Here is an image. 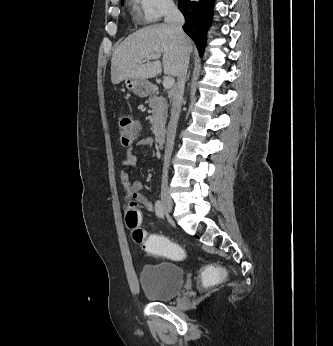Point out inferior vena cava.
Listing matches in <instances>:
<instances>
[{"instance_id":"602c4592","label":"inferior vena cava","mask_w":333,"mask_h":346,"mask_svg":"<svg viewBox=\"0 0 333 346\" xmlns=\"http://www.w3.org/2000/svg\"><path fill=\"white\" fill-rule=\"evenodd\" d=\"M164 21L170 27V29L179 37L180 44H183L185 38V34L182 30V26L185 22L183 14L174 5H170L166 10ZM188 64L189 54L185 49H183L178 67L177 83L173 90L171 117L168 124L167 139L165 145L163 179H166L168 174L170 158L172 155L174 139L176 135L177 123L181 110V103L183 100Z\"/></svg>"}]
</instances>
